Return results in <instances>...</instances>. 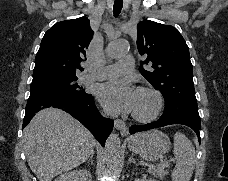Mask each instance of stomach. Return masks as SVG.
I'll return each mask as SVG.
<instances>
[{"label":"stomach","instance_id":"0dacf381","mask_svg":"<svg viewBox=\"0 0 228 181\" xmlns=\"http://www.w3.org/2000/svg\"><path fill=\"white\" fill-rule=\"evenodd\" d=\"M129 149L141 155L145 161H158L170 149V139L161 131H148L130 137Z\"/></svg>","mask_w":228,"mask_h":181}]
</instances>
